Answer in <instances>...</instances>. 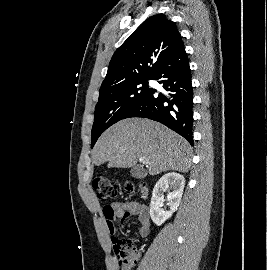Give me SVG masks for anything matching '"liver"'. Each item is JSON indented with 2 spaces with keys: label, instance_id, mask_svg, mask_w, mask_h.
I'll use <instances>...</instances> for the list:
<instances>
[{
  "label": "liver",
  "instance_id": "liver-1",
  "mask_svg": "<svg viewBox=\"0 0 267 270\" xmlns=\"http://www.w3.org/2000/svg\"><path fill=\"white\" fill-rule=\"evenodd\" d=\"M192 148L180 135L165 126L143 118H128L108 128L93 149L96 166L134 167L147 160L150 175L166 171L187 172Z\"/></svg>",
  "mask_w": 267,
  "mask_h": 270
}]
</instances>
